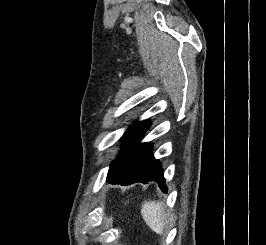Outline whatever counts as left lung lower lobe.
I'll return each mask as SVG.
<instances>
[{
	"label": "left lung lower lobe",
	"instance_id": "left-lung-lower-lobe-1",
	"mask_svg": "<svg viewBox=\"0 0 266 245\" xmlns=\"http://www.w3.org/2000/svg\"><path fill=\"white\" fill-rule=\"evenodd\" d=\"M107 181L112 184L129 185L134 182L147 183L155 181L160 186L161 190L167 192L165 180L161 165L151 153V145L143 143L140 145L136 160L129 171L123 175L107 178Z\"/></svg>",
	"mask_w": 266,
	"mask_h": 245
}]
</instances>
